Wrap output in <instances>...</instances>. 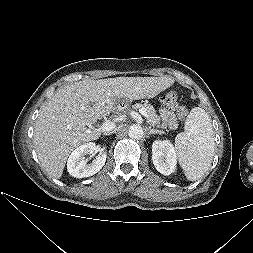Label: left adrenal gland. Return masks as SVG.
<instances>
[{"instance_id":"left-adrenal-gland-1","label":"left adrenal gland","mask_w":253,"mask_h":253,"mask_svg":"<svg viewBox=\"0 0 253 253\" xmlns=\"http://www.w3.org/2000/svg\"><path fill=\"white\" fill-rule=\"evenodd\" d=\"M148 133L149 134H157V133H159V134H163L164 132H162V131H159V130H156V129H152L150 126L148 127Z\"/></svg>"}]
</instances>
